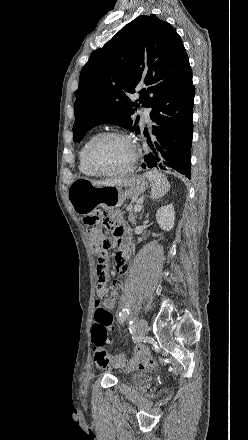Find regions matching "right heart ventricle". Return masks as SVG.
I'll return each mask as SVG.
<instances>
[{"instance_id": "1", "label": "right heart ventricle", "mask_w": 248, "mask_h": 440, "mask_svg": "<svg viewBox=\"0 0 248 440\" xmlns=\"http://www.w3.org/2000/svg\"><path fill=\"white\" fill-rule=\"evenodd\" d=\"M98 134H93L91 136H89L85 142L83 143L80 151H79V155H78V168L79 171L85 175V176H94L93 173H91V171L88 169L86 162H85V154H86V150L89 146V144L91 143V141L97 136Z\"/></svg>"}]
</instances>
